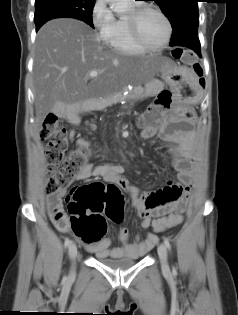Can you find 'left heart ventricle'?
I'll return each instance as SVG.
<instances>
[{
	"label": "left heart ventricle",
	"instance_id": "1",
	"mask_svg": "<svg viewBox=\"0 0 238 315\" xmlns=\"http://www.w3.org/2000/svg\"><path fill=\"white\" fill-rule=\"evenodd\" d=\"M139 30L142 39L149 45L161 44L167 34L164 20L155 12H146L139 21Z\"/></svg>",
	"mask_w": 238,
	"mask_h": 315
}]
</instances>
